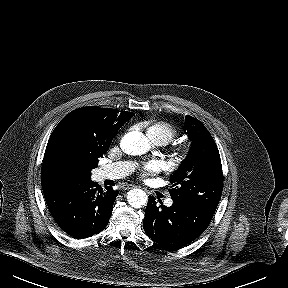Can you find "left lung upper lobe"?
Returning <instances> with one entry per match:
<instances>
[{
  "label": "left lung upper lobe",
  "instance_id": "left-lung-upper-lobe-1",
  "mask_svg": "<svg viewBox=\"0 0 288 288\" xmlns=\"http://www.w3.org/2000/svg\"><path fill=\"white\" fill-rule=\"evenodd\" d=\"M184 131L192 141L190 151L170 177L172 200L191 203L215 212L223 190L218 148L205 126L189 115Z\"/></svg>",
  "mask_w": 288,
  "mask_h": 288
}]
</instances>
